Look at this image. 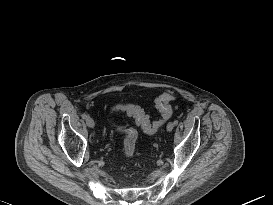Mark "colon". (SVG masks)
I'll list each match as a JSON object with an SVG mask.
<instances>
[{
	"instance_id": "obj_1",
	"label": "colon",
	"mask_w": 273,
	"mask_h": 205,
	"mask_svg": "<svg viewBox=\"0 0 273 205\" xmlns=\"http://www.w3.org/2000/svg\"><path fill=\"white\" fill-rule=\"evenodd\" d=\"M175 100V96L172 93H164L157 97L155 105L161 114L159 121L151 122L148 115L138 106H129L127 111L131 115L138 126H140L146 133L156 132L166 121L172 116L171 102ZM123 106L116 105L112 110H121ZM124 136V155L127 158H131L135 153L137 132L133 128H118L117 129Z\"/></svg>"
}]
</instances>
